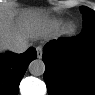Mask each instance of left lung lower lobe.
<instances>
[{
	"instance_id": "left-lung-lower-lobe-1",
	"label": "left lung lower lobe",
	"mask_w": 95,
	"mask_h": 95,
	"mask_svg": "<svg viewBox=\"0 0 95 95\" xmlns=\"http://www.w3.org/2000/svg\"><path fill=\"white\" fill-rule=\"evenodd\" d=\"M43 61L50 95H95V28L48 42Z\"/></svg>"
}]
</instances>
